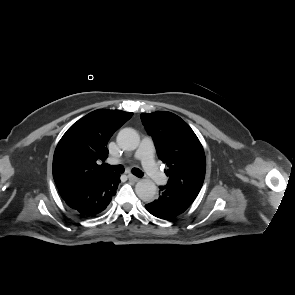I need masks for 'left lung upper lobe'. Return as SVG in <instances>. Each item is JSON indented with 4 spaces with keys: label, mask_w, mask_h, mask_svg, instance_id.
I'll return each instance as SVG.
<instances>
[{
    "label": "left lung upper lobe",
    "mask_w": 295,
    "mask_h": 295,
    "mask_svg": "<svg viewBox=\"0 0 295 295\" xmlns=\"http://www.w3.org/2000/svg\"><path fill=\"white\" fill-rule=\"evenodd\" d=\"M140 117L159 158L167 165L165 187L197 196L205 178L206 159L193 130L171 112L142 113Z\"/></svg>",
    "instance_id": "1"
}]
</instances>
